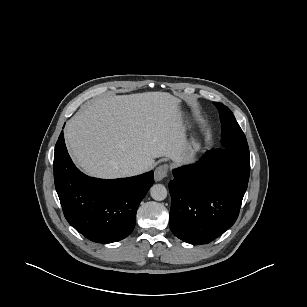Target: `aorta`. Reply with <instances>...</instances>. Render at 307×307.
<instances>
[{
	"instance_id": "1",
	"label": "aorta",
	"mask_w": 307,
	"mask_h": 307,
	"mask_svg": "<svg viewBox=\"0 0 307 307\" xmlns=\"http://www.w3.org/2000/svg\"><path fill=\"white\" fill-rule=\"evenodd\" d=\"M151 197L156 201H162L167 197V189L162 184H155L150 189Z\"/></svg>"
}]
</instances>
